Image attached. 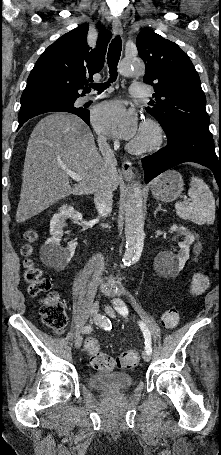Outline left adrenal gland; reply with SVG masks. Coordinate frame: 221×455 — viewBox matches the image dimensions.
Instances as JSON below:
<instances>
[{"label": "left adrenal gland", "mask_w": 221, "mask_h": 455, "mask_svg": "<svg viewBox=\"0 0 221 455\" xmlns=\"http://www.w3.org/2000/svg\"><path fill=\"white\" fill-rule=\"evenodd\" d=\"M158 211H165V210L161 207V204H158V207H157L156 210L154 211V216H156V214H157Z\"/></svg>", "instance_id": "left-adrenal-gland-1"}]
</instances>
